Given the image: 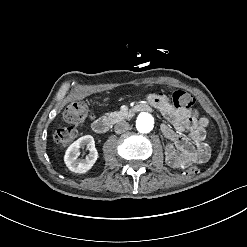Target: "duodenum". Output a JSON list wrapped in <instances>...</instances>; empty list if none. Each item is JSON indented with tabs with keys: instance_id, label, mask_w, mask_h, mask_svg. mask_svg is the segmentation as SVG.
I'll use <instances>...</instances> for the list:
<instances>
[{
	"instance_id": "duodenum-1",
	"label": "duodenum",
	"mask_w": 247,
	"mask_h": 247,
	"mask_svg": "<svg viewBox=\"0 0 247 247\" xmlns=\"http://www.w3.org/2000/svg\"><path fill=\"white\" fill-rule=\"evenodd\" d=\"M150 108L145 104H138L126 112L127 117H131L133 113L138 111H149ZM112 121L109 118H98L92 122V129L94 132L102 134L111 129Z\"/></svg>"
}]
</instances>
